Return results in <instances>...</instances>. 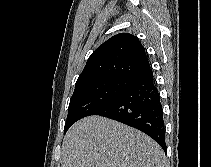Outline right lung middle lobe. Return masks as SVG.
<instances>
[{
	"label": "right lung middle lobe",
	"mask_w": 211,
	"mask_h": 167,
	"mask_svg": "<svg viewBox=\"0 0 211 167\" xmlns=\"http://www.w3.org/2000/svg\"><path fill=\"white\" fill-rule=\"evenodd\" d=\"M131 85L129 78L106 77L92 80L78 86L70 99L65 132L77 120L93 115Z\"/></svg>",
	"instance_id": "right-lung-middle-lobe-1"
}]
</instances>
